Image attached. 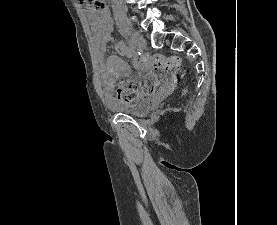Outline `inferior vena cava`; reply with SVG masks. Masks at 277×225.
Masks as SVG:
<instances>
[{
	"instance_id": "602c4592",
	"label": "inferior vena cava",
	"mask_w": 277,
	"mask_h": 225,
	"mask_svg": "<svg viewBox=\"0 0 277 225\" xmlns=\"http://www.w3.org/2000/svg\"><path fill=\"white\" fill-rule=\"evenodd\" d=\"M113 5H114V8H121L122 7V0H111Z\"/></svg>"
}]
</instances>
